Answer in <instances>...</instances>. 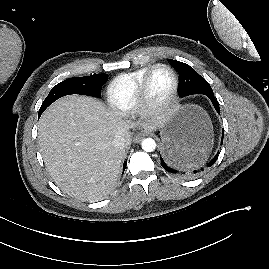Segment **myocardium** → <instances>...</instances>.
I'll list each match as a JSON object with an SVG mask.
<instances>
[{
    "label": "myocardium",
    "mask_w": 269,
    "mask_h": 269,
    "mask_svg": "<svg viewBox=\"0 0 269 269\" xmlns=\"http://www.w3.org/2000/svg\"><path fill=\"white\" fill-rule=\"evenodd\" d=\"M157 68L167 69L172 75L173 83L169 93L162 101L153 102L150 100L148 96V84L152 73ZM178 88H179V77L176 71L170 65L165 63L154 64L148 68V70L146 71V73L139 82L136 93V102H137L136 107L145 116H154L162 114L168 110V108L175 100Z\"/></svg>",
    "instance_id": "obj_1"
}]
</instances>
